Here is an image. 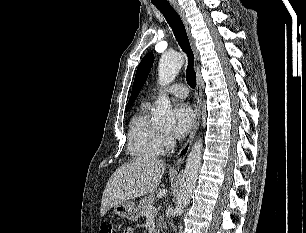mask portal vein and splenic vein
Here are the masks:
<instances>
[{"label": "portal vein and splenic vein", "mask_w": 306, "mask_h": 233, "mask_svg": "<svg viewBox=\"0 0 306 233\" xmlns=\"http://www.w3.org/2000/svg\"><path fill=\"white\" fill-rule=\"evenodd\" d=\"M147 213H148V216H153V215H155L157 213V209L155 207H153V206H150L148 208V212Z\"/></svg>", "instance_id": "18ae733b"}]
</instances>
